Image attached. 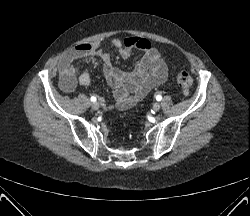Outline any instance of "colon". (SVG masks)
I'll list each match as a JSON object with an SVG mask.
<instances>
[{
    "label": "colon",
    "instance_id": "5ec220e1",
    "mask_svg": "<svg viewBox=\"0 0 250 216\" xmlns=\"http://www.w3.org/2000/svg\"><path fill=\"white\" fill-rule=\"evenodd\" d=\"M177 83L184 94H189L191 92L193 80L188 72L179 71L177 73Z\"/></svg>",
    "mask_w": 250,
    "mask_h": 216
}]
</instances>
